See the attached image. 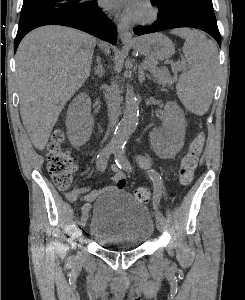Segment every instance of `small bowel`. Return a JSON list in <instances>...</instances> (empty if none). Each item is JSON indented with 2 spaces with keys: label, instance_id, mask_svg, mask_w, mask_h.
<instances>
[{
  "label": "small bowel",
  "instance_id": "1",
  "mask_svg": "<svg viewBox=\"0 0 245 300\" xmlns=\"http://www.w3.org/2000/svg\"><path fill=\"white\" fill-rule=\"evenodd\" d=\"M138 164L145 170H150L151 168V163L149 159L143 156L138 157ZM112 171L113 176L111 180L113 182V185L102 189H91L88 187L75 188L66 193V199L71 203H76L81 195H85V199L87 201H93L106 191L114 189H124L126 185V178L124 172L116 166L112 167Z\"/></svg>",
  "mask_w": 245,
  "mask_h": 300
}]
</instances>
